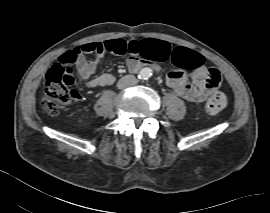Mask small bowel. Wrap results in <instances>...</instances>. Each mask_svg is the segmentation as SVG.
Instances as JSON below:
<instances>
[{"label": "small bowel", "mask_w": 270, "mask_h": 213, "mask_svg": "<svg viewBox=\"0 0 270 213\" xmlns=\"http://www.w3.org/2000/svg\"><path fill=\"white\" fill-rule=\"evenodd\" d=\"M152 43L155 49L150 51L144 59L131 57L127 59V67L132 72H137L145 65H152L154 61H170L175 68L166 76L167 85L176 91L184 99L191 102H201L208 94L217 89L220 84L219 72L217 75L206 67H198L192 73L190 80H187L183 69L191 61V53L186 48H179L170 43L158 40L148 39L139 42L141 46ZM106 42L81 43L77 46L79 55L75 62L76 70L81 82L91 88L104 87L113 83V77L110 74H100L93 77L102 56L106 53ZM95 54L93 59H86V55Z\"/></svg>", "instance_id": "1"}]
</instances>
